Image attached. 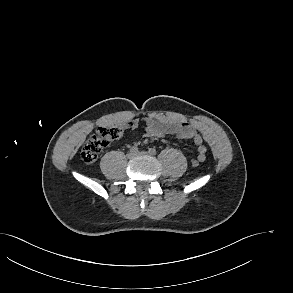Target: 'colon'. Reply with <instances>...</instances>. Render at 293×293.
I'll list each match as a JSON object with an SVG mask.
<instances>
[{"instance_id": "colon-1", "label": "colon", "mask_w": 293, "mask_h": 293, "mask_svg": "<svg viewBox=\"0 0 293 293\" xmlns=\"http://www.w3.org/2000/svg\"><path fill=\"white\" fill-rule=\"evenodd\" d=\"M122 129L118 126H107L98 128L87 140L81 151V158L87 164H94L99 154L111 143L121 137ZM205 160V153L201 152L197 160L193 161L198 166Z\"/></svg>"}]
</instances>
